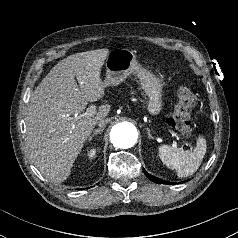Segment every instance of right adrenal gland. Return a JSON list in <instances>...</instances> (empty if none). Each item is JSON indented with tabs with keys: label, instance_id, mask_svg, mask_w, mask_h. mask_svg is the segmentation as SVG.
I'll list each match as a JSON object with an SVG mask.
<instances>
[{
	"label": "right adrenal gland",
	"instance_id": "right-adrenal-gland-1",
	"mask_svg": "<svg viewBox=\"0 0 238 238\" xmlns=\"http://www.w3.org/2000/svg\"><path fill=\"white\" fill-rule=\"evenodd\" d=\"M104 130L103 128H97L93 131V134L89 137L88 141H91L93 139L94 136H96L97 134H101Z\"/></svg>",
	"mask_w": 238,
	"mask_h": 238
}]
</instances>
